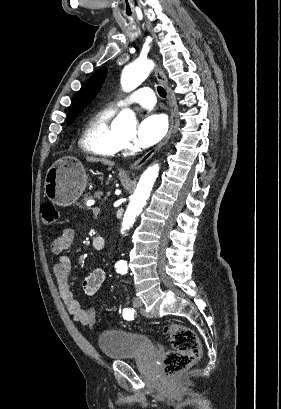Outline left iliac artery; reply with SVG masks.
<instances>
[{
    "mask_svg": "<svg viewBox=\"0 0 281 409\" xmlns=\"http://www.w3.org/2000/svg\"><path fill=\"white\" fill-rule=\"evenodd\" d=\"M123 317L126 319V320H132L133 318H134V310L133 309H128V308H125L124 310H123Z\"/></svg>",
    "mask_w": 281,
    "mask_h": 409,
    "instance_id": "left-iliac-artery-1",
    "label": "left iliac artery"
}]
</instances>
